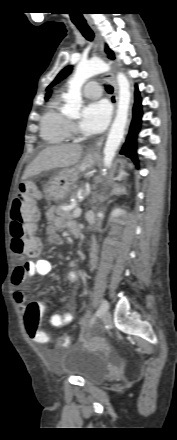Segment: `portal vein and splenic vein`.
Instances as JSON below:
<instances>
[{
	"instance_id": "18ae733b",
	"label": "portal vein and splenic vein",
	"mask_w": 177,
	"mask_h": 440,
	"mask_svg": "<svg viewBox=\"0 0 177 440\" xmlns=\"http://www.w3.org/2000/svg\"><path fill=\"white\" fill-rule=\"evenodd\" d=\"M81 215V209L80 208H76L73 212V216L74 217H79Z\"/></svg>"
}]
</instances>
